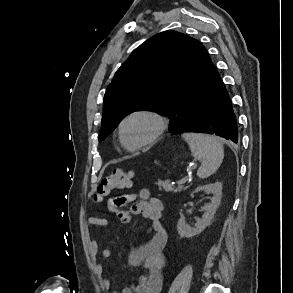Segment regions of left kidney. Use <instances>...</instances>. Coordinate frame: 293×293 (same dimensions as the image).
Instances as JSON below:
<instances>
[{
    "instance_id": "left-kidney-1",
    "label": "left kidney",
    "mask_w": 293,
    "mask_h": 293,
    "mask_svg": "<svg viewBox=\"0 0 293 293\" xmlns=\"http://www.w3.org/2000/svg\"><path fill=\"white\" fill-rule=\"evenodd\" d=\"M211 191L213 193V198L209 204L203 206L202 210L204 214L202 218H197L196 223L193 227L186 224L183 219H179L177 223V231L180 237L191 238L197 234H200L211 222L214 217V214L220 204L222 196V183L215 182L206 184L203 186H198L193 193L200 191Z\"/></svg>"
}]
</instances>
